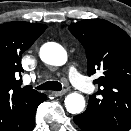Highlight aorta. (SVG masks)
Returning a JSON list of instances; mask_svg holds the SVG:
<instances>
[{"label":"aorta","instance_id":"obj_1","mask_svg":"<svg viewBox=\"0 0 131 131\" xmlns=\"http://www.w3.org/2000/svg\"><path fill=\"white\" fill-rule=\"evenodd\" d=\"M40 58L47 64L61 66L67 61V53L59 44L46 43L40 49ZM65 106L71 114L81 113L85 108V99L79 93H70L65 98Z\"/></svg>","mask_w":131,"mask_h":131}]
</instances>
